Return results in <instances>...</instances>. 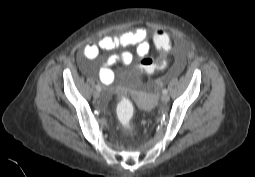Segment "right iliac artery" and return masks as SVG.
<instances>
[{
  "instance_id": "obj_1",
  "label": "right iliac artery",
  "mask_w": 255,
  "mask_h": 177,
  "mask_svg": "<svg viewBox=\"0 0 255 177\" xmlns=\"http://www.w3.org/2000/svg\"><path fill=\"white\" fill-rule=\"evenodd\" d=\"M96 89H97V91L100 92V91H101V86H100L99 84H97V85H96Z\"/></svg>"
}]
</instances>
